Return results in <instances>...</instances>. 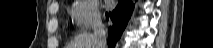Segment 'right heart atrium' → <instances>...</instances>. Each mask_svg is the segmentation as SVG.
Masks as SVG:
<instances>
[{
	"label": "right heart atrium",
	"mask_w": 213,
	"mask_h": 48,
	"mask_svg": "<svg viewBox=\"0 0 213 48\" xmlns=\"http://www.w3.org/2000/svg\"><path fill=\"white\" fill-rule=\"evenodd\" d=\"M70 13L75 24L81 30H88L101 21L99 4L96 0L74 1Z\"/></svg>",
	"instance_id": "obj_1"
}]
</instances>
